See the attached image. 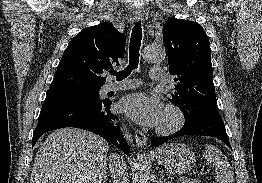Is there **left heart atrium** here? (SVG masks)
Masks as SVG:
<instances>
[{
  "label": "left heart atrium",
  "instance_id": "1",
  "mask_svg": "<svg viewBox=\"0 0 262 183\" xmlns=\"http://www.w3.org/2000/svg\"><path fill=\"white\" fill-rule=\"evenodd\" d=\"M120 109L135 122L146 127L158 126L164 112L156 97H149L144 93L126 96L120 103Z\"/></svg>",
  "mask_w": 262,
  "mask_h": 183
}]
</instances>
